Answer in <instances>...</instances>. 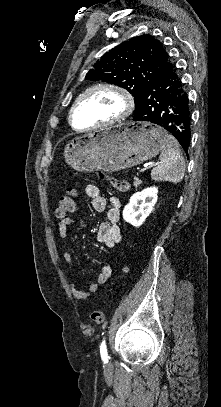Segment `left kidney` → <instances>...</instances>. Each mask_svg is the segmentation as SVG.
I'll return each instance as SVG.
<instances>
[{
	"label": "left kidney",
	"instance_id": "5707ae66",
	"mask_svg": "<svg viewBox=\"0 0 221 407\" xmlns=\"http://www.w3.org/2000/svg\"><path fill=\"white\" fill-rule=\"evenodd\" d=\"M157 193L156 187H150L133 194L123 209V219L135 227L141 226L157 202Z\"/></svg>",
	"mask_w": 221,
	"mask_h": 407
}]
</instances>
